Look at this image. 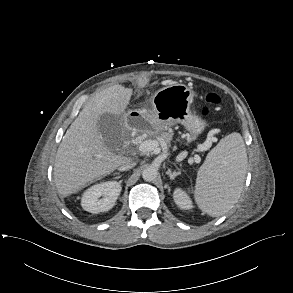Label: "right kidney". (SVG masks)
I'll use <instances>...</instances> for the list:
<instances>
[{
    "instance_id": "obj_1",
    "label": "right kidney",
    "mask_w": 293,
    "mask_h": 293,
    "mask_svg": "<svg viewBox=\"0 0 293 293\" xmlns=\"http://www.w3.org/2000/svg\"><path fill=\"white\" fill-rule=\"evenodd\" d=\"M121 189L117 181L95 184L82 195V208L95 214L108 211L115 205Z\"/></svg>"
}]
</instances>
